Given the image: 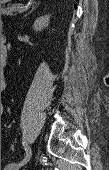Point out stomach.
I'll use <instances>...</instances> for the list:
<instances>
[{
	"mask_svg": "<svg viewBox=\"0 0 109 170\" xmlns=\"http://www.w3.org/2000/svg\"><path fill=\"white\" fill-rule=\"evenodd\" d=\"M11 0H1V5L10 2Z\"/></svg>",
	"mask_w": 109,
	"mask_h": 170,
	"instance_id": "0dacf381",
	"label": "stomach"
}]
</instances>
